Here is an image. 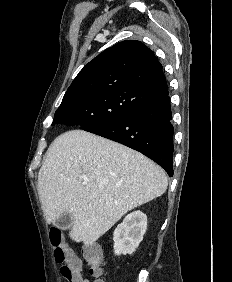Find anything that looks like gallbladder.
I'll return each instance as SVG.
<instances>
[{
  "label": "gallbladder",
  "mask_w": 232,
  "mask_h": 282,
  "mask_svg": "<svg viewBox=\"0 0 232 282\" xmlns=\"http://www.w3.org/2000/svg\"><path fill=\"white\" fill-rule=\"evenodd\" d=\"M73 224L72 214L64 213L56 220L53 221V225L61 230L69 229Z\"/></svg>",
  "instance_id": "bac80fb5"
}]
</instances>
